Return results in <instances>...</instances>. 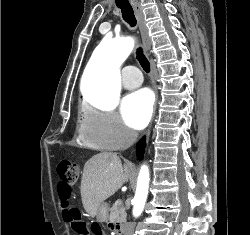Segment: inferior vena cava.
I'll return each mask as SVG.
<instances>
[{"instance_id": "602c4592", "label": "inferior vena cava", "mask_w": 250, "mask_h": 235, "mask_svg": "<svg viewBox=\"0 0 250 235\" xmlns=\"http://www.w3.org/2000/svg\"><path fill=\"white\" fill-rule=\"evenodd\" d=\"M136 139H137L136 132L129 130V129L124 130V148L129 147L131 144H133L136 141ZM123 235H134V223L127 222L124 225Z\"/></svg>"}]
</instances>
